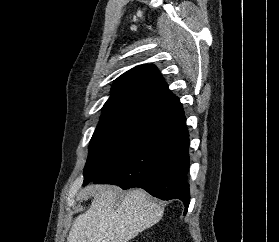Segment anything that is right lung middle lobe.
Returning a JSON list of instances; mask_svg holds the SVG:
<instances>
[{"label": "right lung middle lobe", "instance_id": "right-lung-middle-lobe-1", "mask_svg": "<svg viewBox=\"0 0 279 242\" xmlns=\"http://www.w3.org/2000/svg\"><path fill=\"white\" fill-rule=\"evenodd\" d=\"M161 117L140 112L103 114L91 138L84 179L101 176L149 139Z\"/></svg>", "mask_w": 279, "mask_h": 242}]
</instances>
